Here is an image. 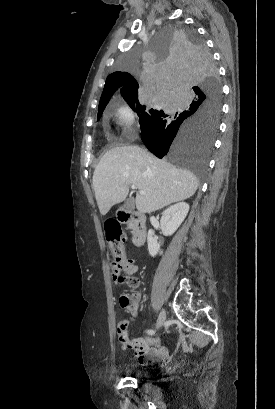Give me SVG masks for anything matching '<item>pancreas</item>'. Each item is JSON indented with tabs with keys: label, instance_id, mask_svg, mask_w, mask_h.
Listing matches in <instances>:
<instances>
[{
	"label": "pancreas",
	"instance_id": "obj_1",
	"mask_svg": "<svg viewBox=\"0 0 275 409\" xmlns=\"http://www.w3.org/2000/svg\"><path fill=\"white\" fill-rule=\"evenodd\" d=\"M128 229H134V225H132V223H128ZM131 233H134V231H131Z\"/></svg>",
	"mask_w": 275,
	"mask_h": 409
}]
</instances>
